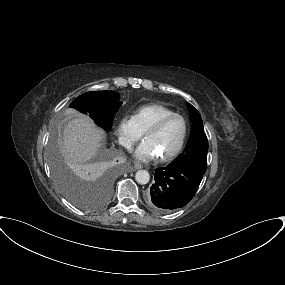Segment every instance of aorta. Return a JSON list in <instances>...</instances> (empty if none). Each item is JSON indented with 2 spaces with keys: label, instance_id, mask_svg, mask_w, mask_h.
Masks as SVG:
<instances>
[{
  "label": "aorta",
  "instance_id": "obj_1",
  "mask_svg": "<svg viewBox=\"0 0 285 285\" xmlns=\"http://www.w3.org/2000/svg\"><path fill=\"white\" fill-rule=\"evenodd\" d=\"M135 180L141 185L147 184L150 180V174L146 170H139L135 174Z\"/></svg>",
  "mask_w": 285,
  "mask_h": 285
}]
</instances>
